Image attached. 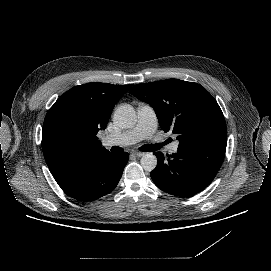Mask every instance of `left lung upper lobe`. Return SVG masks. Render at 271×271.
<instances>
[{
    "label": "left lung upper lobe",
    "instance_id": "left-lung-upper-lobe-1",
    "mask_svg": "<svg viewBox=\"0 0 271 271\" xmlns=\"http://www.w3.org/2000/svg\"><path fill=\"white\" fill-rule=\"evenodd\" d=\"M130 92L148 103L165 131L178 134L179 146L216 144L226 147L223 113L213 96L200 84L178 79L137 84Z\"/></svg>",
    "mask_w": 271,
    "mask_h": 271
}]
</instances>
